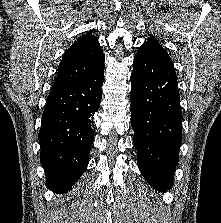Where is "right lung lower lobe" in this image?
Listing matches in <instances>:
<instances>
[{"label":"right lung lower lobe","instance_id":"1","mask_svg":"<svg viewBox=\"0 0 221 223\" xmlns=\"http://www.w3.org/2000/svg\"><path fill=\"white\" fill-rule=\"evenodd\" d=\"M103 79L104 67L47 97L38 138L46 186L54 192L68 191L87 168Z\"/></svg>","mask_w":221,"mask_h":223}]
</instances>
